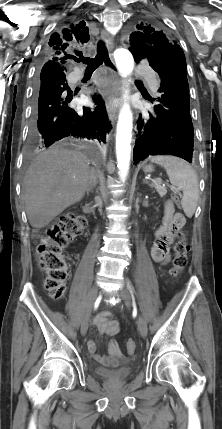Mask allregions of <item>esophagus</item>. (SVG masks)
<instances>
[{
  "mask_svg": "<svg viewBox=\"0 0 222 429\" xmlns=\"http://www.w3.org/2000/svg\"><path fill=\"white\" fill-rule=\"evenodd\" d=\"M101 37L105 41L109 51L113 50V37L106 31H101ZM109 79V96L107 100V112L111 123L113 124L117 118L118 100L121 93V79L114 68L108 67Z\"/></svg>",
  "mask_w": 222,
  "mask_h": 429,
  "instance_id": "34e87169",
  "label": "esophagus"
}]
</instances>
